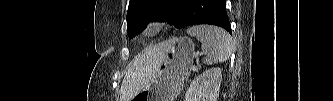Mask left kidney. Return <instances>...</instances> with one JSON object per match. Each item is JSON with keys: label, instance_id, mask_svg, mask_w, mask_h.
<instances>
[{"label": "left kidney", "instance_id": "obj_1", "mask_svg": "<svg viewBox=\"0 0 333 101\" xmlns=\"http://www.w3.org/2000/svg\"><path fill=\"white\" fill-rule=\"evenodd\" d=\"M222 81L219 67L207 69L191 82L185 101H217Z\"/></svg>", "mask_w": 333, "mask_h": 101}]
</instances>
